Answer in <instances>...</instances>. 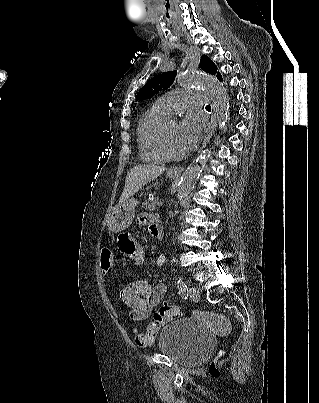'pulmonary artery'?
I'll return each instance as SVG.
<instances>
[{
  "label": "pulmonary artery",
  "instance_id": "e3ab8cb5",
  "mask_svg": "<svg viewBox=\"0 0 319 403\" xmlns=\"http://www.w3.org/2000/svg\"><path fill=\"white\" fill-rule=\"evenodd\" d=\"M204 92L196 89H179L159 97L154 104L169 114L194 106L205 105Z\"/></svg>",
  "mask_w": 319,
  "mask_h": 403
}]
</instances>
